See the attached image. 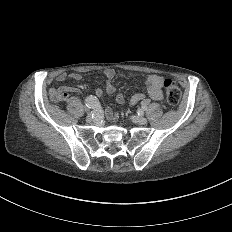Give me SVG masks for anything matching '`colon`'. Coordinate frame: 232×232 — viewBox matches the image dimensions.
I'll use <instances>...</instances> for the list:
<instances>
[{"label": "colon", "mask_w": 232, "mask_h": 232, "mask_svg": "<svg viewBox=\"0 0 232 232\" xmlns=\"http://www.w3.org/2000/svg\"><path fill=\"white\" fill-rule=\"evenodd\" d=\"M165 91H167V93L164 94L166 101H169V103H180L182 91L175 82L168 81V87ZM66 98H70V93L55 92L51 96V103L55 107H62L66 103Z\"/></svg>", "instance_id": "colon-1"}]
</instances>
